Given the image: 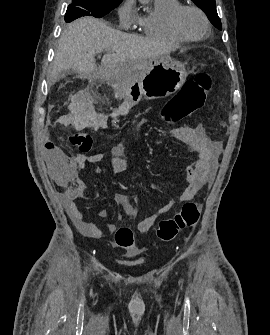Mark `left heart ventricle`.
<instances>
[{
  "mask_svg": "<svg viewBox=\"0 0 270 335\" xmlns=\"http://www.w3.org/2000/svg\"><path fill=\"white\" fill-rule=\"evenodd\" d=\"M181 26L191 37H201L205 34V24L202 17L193 10H186L181 16Z\"/></svg>",
  "mask_w": 270,
  "mask_h": 335,
  "instance_id": "obj_1",
  "label": "left heart ventricle"
}]
</instances>
